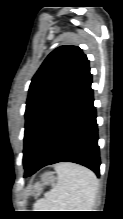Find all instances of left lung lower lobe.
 I'll use <instances>...</instances> for the list:
<instances>
[{"label": "left lung lower lobe", "instance_id": "0a47b994", "mask_svg": "<svg viewBox=\"0 0 123 219\" xmlns=\"http://www.w3.org/2000/svg\"><path fill=\"white\" fill-rule=\"evenodd\" d=\"M90 72L56 109L41 132L25 167V177L40 168L74 162L100 175L96 110Z\"/></svg>", "mask_w": 123, "mask_h": 219}]
</instances>
